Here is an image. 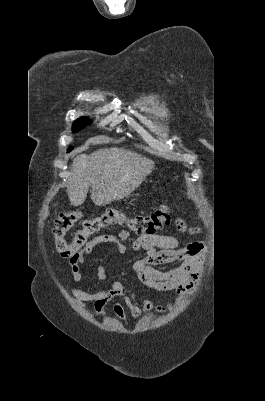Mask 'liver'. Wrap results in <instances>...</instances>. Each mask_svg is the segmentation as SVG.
Listing matches in <instances>:
<instances>
[{
  "label": "liver",
  "instance_id": "obj_1",
  "mask_svg": "<svg viewBox=\"0 0 265 401\" xmlns=\"http://www.w3.org/2000/svg\"><path fill=\"white\" fill-rule=\"evenodd\" d=\"M67 194L70 205L80 207L91 186L96 207H105L131 194L155 166L154 160L127 148H99L76 154L71 164Z\"/></svg>",
  "mask_w": 265,
  "mask_h": 401
}]
</instances>
